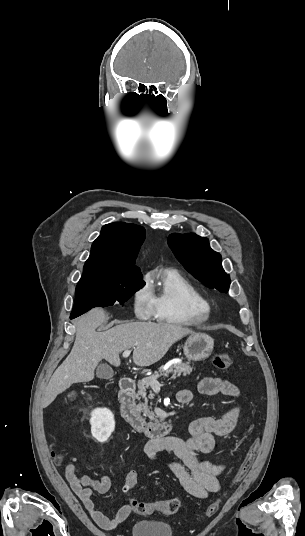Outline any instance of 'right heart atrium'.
Listing matches in <instances>:
<instances>
[{
    "mask_svg": "<svg viewBox=\"0 0 305 536\" xmlns=\"http://www.w3.org/2000/svg\"><path fill=\"white\" fill-rule=\"evenodd\" d=\"M132 309L137 318L146 320L153 317L156 313L154 309L153 299L150 292V284L147 279L133 291L132 293Z\"/></svg>",
    "mask_w": 305,
    "mask_h": 536,
    "instance_id": "1",
    "label": "right heart atrium"
}]
</instances>
